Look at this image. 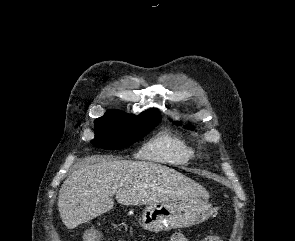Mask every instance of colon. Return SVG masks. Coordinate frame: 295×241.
Masks as SVG:
<instances>
[{"label":"colon","instance_id":"obj_1","mask_svg":"<svg viewBox=\"0 0 295 241\" xmlns=\"http://www.w3.org/2000/svg\"><path fill=\"white\" fill-rule=\"evenodd\" d=\"M84 240L85 241H99L100 240L99 232L95 229L88 230L85 234ZM172 241H187V240L182 235L175 234L172 237ZM205 241H222V240L219 237L213 236V237L208 238Z\"/></svg>","mask_w":295,"mask_h":241}]
</instances>
